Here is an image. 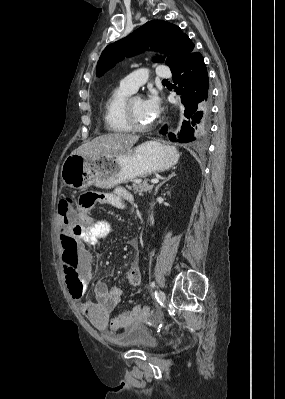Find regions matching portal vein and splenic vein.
Here are the masks:
<instances>
[{
  "label": "portal vein and splenic vein",
  "mask_w": 285,
  "mask_h": 399,
  "mask_svg": "<svg viewBox=\"0 0 285 399\" xmlns=\"http://www.w3.org/2000/svg\"><path fill=\"white\" fill-rule=\"evenodd\" d=\"M158 182H159L158 179H152V180H151V183H152V184H157Z\"/></svg>",
  "instance_id": "portal-vein-and-splenic-vein-1"
}]
</instances>
